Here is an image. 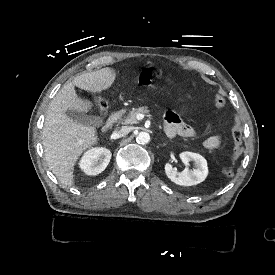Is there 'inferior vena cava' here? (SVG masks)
Returning <instances> with one entry per match:
<instances>
[{"instance_id":"602c4592","label":"inferior vena cava","mask_w":275,"mask_h":275,"mask_svg":"<svg viewBox=\"0 0 275 275\" xmlns=\"http://www.w3.org/2000/svg\"><path fill=\"white\" fill-rule=\"evenodd\" d=\"M131 131V128L130 127H122L121 129H116L112 136L114 139H117V138H121L125 135H127L128 133H130Z\"/></svg>"}]
</instances>
